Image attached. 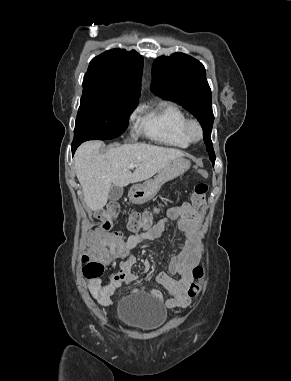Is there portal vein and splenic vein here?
<instances>
[{"label":"portal vein and splenic vein","instance_id":"portal-vein-and-splenic-vein-1","mask_svg":"<svg viewBox=\"0 0 291 381\" xmlns=\"http://www.w3.org/2000/svg\"><path fill=\"white\" fill-rule=\"evenodd\" d=\"M134 167H136V165H135L134 163H131V164L129 165V169H133Z\"/></svg>","mask_w":291,"mask_h":381}]
</instances>
